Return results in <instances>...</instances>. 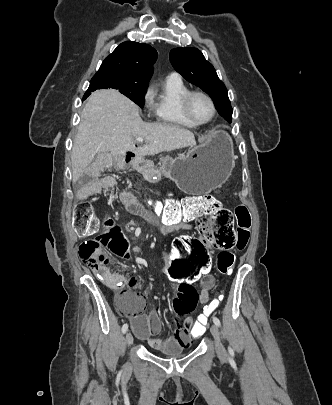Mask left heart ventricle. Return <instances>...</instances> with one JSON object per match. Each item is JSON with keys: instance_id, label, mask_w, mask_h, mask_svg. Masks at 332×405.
Returning <instances> with one entry per match:
<instances>
[{"instance_id": "1", "label": "left heart ventricle", "mask_w": 332, "mask_h": 405, "mask_svg": "<svg viewBox=\"0 0 332 405\" xmlns=\"http://www.w3.org/2000/svg\"><path fill=\"white\" fill-rule=\"evenodd\" d=\"M190 111L196 120L205 121L211 116L212 107L205 97L196 95L191 99Z\"/></svg>"}]
</instances>
